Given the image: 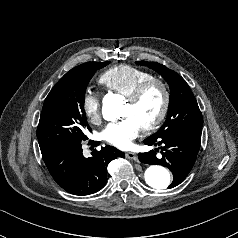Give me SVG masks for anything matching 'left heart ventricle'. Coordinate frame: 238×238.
Here are the masks:
<instances>
[{
  "label": "left heart ventricle",
  "instance_id": "b2bd125f",
  "mask_svg": "<svg viewBox=\"0 0 238 238\" xmlns=\"http://www.w3.org/2000/svg\"><path fill=\"white\" fill-rule=\"evenodd\" d=\"M162 92L160 88L154 86L149 89L140 102L136 105H131L126 102L122 116L133 117L140 127L151 122L158 114L162 103Z\"/></svg>",
  "mask_w": 238,
  "mask_h": 238
}]
</instances>
